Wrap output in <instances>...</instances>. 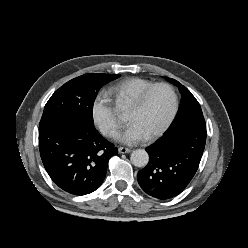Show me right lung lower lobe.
<instances>
[{
	"instance_id": "98d812e1",
	"label": "right lung lower lobe",
	"mask_w": 248,
	"mask_h": 248,
	"mask_svg": "<svg viewBox=\"0 0 248 248\" xmlns=\"http://www.w3.org/2000/svg\"><path fill=\"white\" fill-rule=\"evenodd\" d=\"M39 150L53 182L73 195L98 189L108 160L118 153L94 126L76 121L60 122L40 132Z\"/></svg>"
}]
</instances>
